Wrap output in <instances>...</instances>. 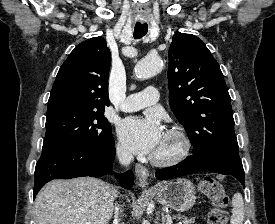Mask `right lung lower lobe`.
<instances>
[{"instance_id": "obj_1", "label": "right lung lower lobe", "mask_w": 275, "mask_h": 224, "mask_svg": "<svg viewBox=\"0 0 275 224\" xmlns=\"http://www.w3.org/2000/svg\"><path fill=\"white\" fill-rule=\"evenodd\" d=\"M114 145L112 136L100 144L42 148L41 158L35 168L34 198L39 190L53 179L106 175L111 171L115 157ZM133 180L131 171L118 176V181L124 188H129Z\"/></svg>"}]
</instances>
